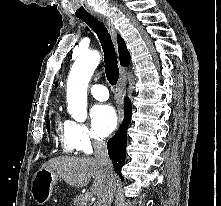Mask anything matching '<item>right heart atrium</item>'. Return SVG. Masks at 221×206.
Returning <instances> with one entry per match:
<instances>
[{"mask_svg":"<svg viewBox=\"0 0 221 206\" xmlns=\"http://www.w3.org/2000/svg\"><path fill=\"white\" fill-rule=\"evenodd\" d=\"M73 140L75 149L84 153H90L94 146L102 143L101 137L80 122H73Z\"/></svg>","mask_w":221,"mask_h":206,"instance_id":"obj_1","label":"right heart atrium"}]
</instances>
